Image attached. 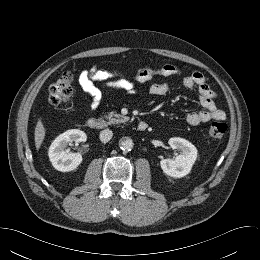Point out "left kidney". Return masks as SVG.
Returning a JSON list of instances; mask_svg holds the SVG:
<instances>
[{
	"label": "left kidney",
	"instance_id": "1",
	"mask_svg": "<svg viewBox=\"0 0 260 260\" xmlns=\"http://www.w3.org/2000/svg\"><path fill=\"white\" fill-rule=\"evenodd\" d=\"M172 149H178L180 154L175 159H162L160 166L163 172L174 178H181L190 173L197 158V149L189 141L174 137L168 141Z\"/></svg>",
	"mask_w": 260,
	"mask_h": 260
}]
</instances>
